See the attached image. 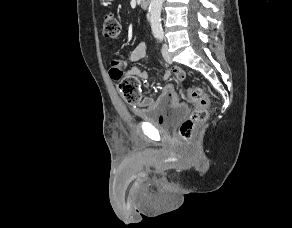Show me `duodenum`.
Instances as JSON below:
<instances>
[{"mask_svg": "<svg viewBox=\"0 0 292 228\" xmlns=\"http://www.w3.org/2000/svg\"><path fill=\"white\" fill-rule=\"evenodd\" d=\"M142 8H147L150 5L151 0H138Z\"/></svg>", "mask_w": 292, "mask_h": 228, "instance_id": "duodenum-1", "label": "duodenum"}]
</instances>
